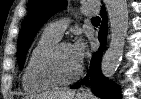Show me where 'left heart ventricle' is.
I'll use <instances>...</instances> for the list:
<instances>
[{
  "mask_svg": "<svg viewBox=\"0 0 141 99\" xmlns=\"http://www.w3.org/2000/svg\"><path fill=\"white\" fill-rule=\"evenodd\" d=\"M79 66L72 54L70 45L63 46L53 60L54 70L62 78L74 75Z\"/></svg>",
  "mask_w": 141,
  "mask_h": 99,
  "instance_id": "b2bd125f",
  "label": "left heart ventricle"
}]
</instances>
